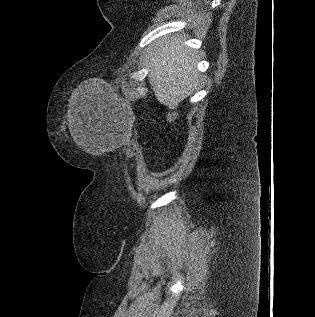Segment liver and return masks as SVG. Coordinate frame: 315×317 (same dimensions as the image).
<instances>
[{"label": "liver", "instance_id": "1", "mask_svg": "<svg viewBox=\"0 0 315 317\" xmlns=\"http://www.w3.org/2000/svg\"><path fill=\"white\" fill-rule=\"evenodd\" d=\"M184 36L162 37L155 41L148 53L149 81L156 98L169 108H175L189 97L196 87L199 74L196 71L199 54L187 48ZM72 107L69 130L77 145L90 151L89 144L80 134L82 121Z\"/></svg>", "mask_w": 315, "mask_h": 317}]
</instances>
